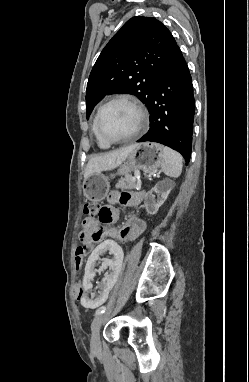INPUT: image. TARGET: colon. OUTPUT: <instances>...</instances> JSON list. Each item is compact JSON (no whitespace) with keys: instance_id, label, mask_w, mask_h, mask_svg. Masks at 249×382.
<instances>
[{"instance_id":"obj_1","label":"colon","mask_w":249,"mask_h":382,"mask_svg":"<svg viewBox=\"0 0 249 382\" xmlns=\"http://www.w3.org/2000/svg\"><path fill=\"white\" fill-rule=\"evenodd\" d=\"M83 211L86 215H88L90 217H96V218H100V217L108 215V212H106L103 209V207H100V205L96 202L85 203L84 207H83ZM84 253L85 252L81 249L77 250V252H76V258H75V261H76L75 270L76 271L82 270V266H83L82 259H83ZM82 293H83L82 288H80L78 296L82 295Z\"/></svg>"}]
</instances>
